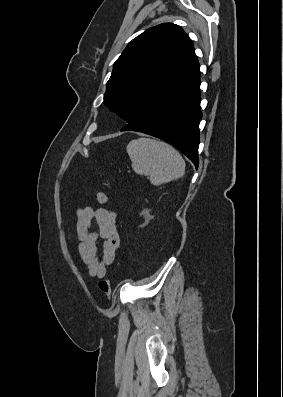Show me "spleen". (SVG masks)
Masks as SVG:
<instances>
[{
  "label": "spleen",
  "mask_w": 283,
  "mask_h": 397,
  "mask_svg": "<svg viewBox=\"0 0 283 397\" xmlns=\"http://www.w3.org/2000/svg\"><path fill=\"white\" fill-rule=\"evenodd\" d=\"M127 153L135 173L150 177L155 186L181 178L185 173V161L169 144L151 138L131 140Z\"/></svg>",
  "instance_id": "3e777b00"
}]
</instances>
